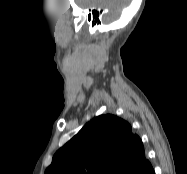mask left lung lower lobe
I'll return each instance as SVG.
<instances>
[{
  "mask_svg": "<svg viewBox=\"0 0 187 174\" xmlns=\"http://www.w3.org/2000/svg\"><path fill=\"white\" fill-rule=\"evenodd\" d=\"M132 174H155L151 164H149L147 167L144 169L138 170L135 168V170L132 172Z\"/></svg>",
  "mask_w": 187,
  "mask_h": 174,
  "instance_id": "0a47b994",
  "label": "left lung lower lobe"
}]
</instances>
